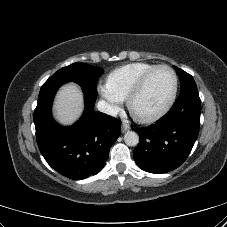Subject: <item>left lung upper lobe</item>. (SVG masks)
<instances>
[{"instance_id":"obj_1","label":"left lung upper lobe","mask_w":227,"mask_h":227,"mask_svg":"<svg viewBox=\"0 0 227 227\" xmlns=\"http://www.w3.org/2000/svg\"><path fill=\"white\" fill-rule=\"evenodd\" d=\"M175 70L180 79V84H181L180 92H182L188 88H191V87H196L195 81L190 74L186 73L185 71L179 69L176 66H175Z\"/></svg>"}]
</instances>
